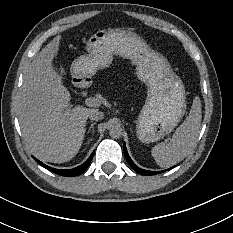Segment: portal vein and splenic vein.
Instances as JSON below:
<instances>
[{"mask_svg":"<svg viewBox=\"0 0 233 233\" xmlns=\"http://www.w3.org/2000/svg\"><path fill=\"white\" fill-rule=\"evenodd\" d=\"M89 106L97 108L100 107L103 103V98H98V97H94V98H89L87 99Z\"/></svg>","mask_w":233,"mask_h":233,"instance_id":"18ae733b","label":"portal vein and splenic vein"}]
</instances>
